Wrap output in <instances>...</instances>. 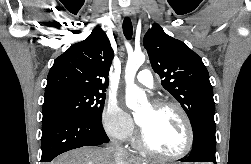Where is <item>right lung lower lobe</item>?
<instances>
[{
	"mask_svg": "<svg viewBox=\"0 0 251 164\" xmlns=\"http://www.w3.org/2000/svg\"><path fill=\"white\" fill-rule=\"evenodd\" d=\"M109 141L101 121L70 115H50L43 118L41 162H50L66 151L99 146Z\"/></svg>",
	"mask_w": 251,
	"mask_h": 164,
	"instance_id": "obj_1",
	"label": "right lung lower lobe"
}]
</instances>
